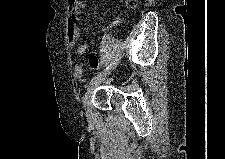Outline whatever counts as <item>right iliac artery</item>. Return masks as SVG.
Masks as SVG:
<instances>
[{"label": "right iliac artery", "mask_w": 225, "mask_h": 159, "mask_svg": "<svg viewBox=\"0 0 225 159\" xmlns=\"http://www.w3.org/2000/svg\"><path fill=\"white\" fill-rule=\"evenodd\" d=\"M118 59H115V61L112 62V64H110V66L106 67V69H104V71L100 72L99 74H97L96 76H94L91 81H90V85L93 84L96 80V78L98 76H101L102 74L108 72L109 70H111L112 67H114L117 64Z\"/></svg>", "instance_id": "82829eb1"}]
</instances>
